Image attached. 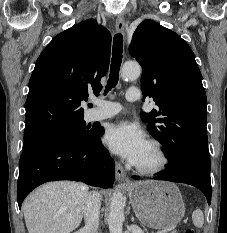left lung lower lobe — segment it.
Returning <instances> with one entry per match:
<instances>
[{
	"label": "left lung lower lobe",
	"mask_w": 227,
	"mask_h": 233,
	"mask_svg": "<svg viewBox=\"0 0 227 233\" xmlns=\"http://www.w3.org/2000/svg\"><path fill=\"white\" fill-rule=\"evenodd\" d=\"M133 178L137 179L135 176ZM154 179L192 185L204 193L208 204L211 203L210 167L201 162L185 159L174 166L167 167L161 175L156 176Z\"/></svg>",
	"instance_id": "0a47b994"
}]
</instances>
